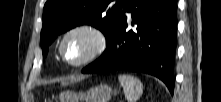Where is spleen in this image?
I'll use <instances>...</instances> for the list:
<instances>
[{
    "label": "spleen",
    "instance_id": "spleen-1",
    "mask_svg": "<svg viewBox=\"0 0 221 102\" xmlns=\"http://www.w3.org/2000/svg\"><path fill=\"white\" fill-rule=\"evenodd\" d=\"M118 80L123 87L128 102H136L143 93V85L138 78L131 75H119Z\"/></svg>",
    "mask_w": 221,
    "mask_h": 102
}]
</instances>
